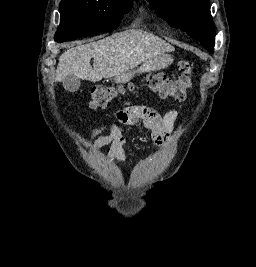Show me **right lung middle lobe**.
Listing matches in <instances>:
<instances>
[{
	"mask_svg": "<svg viewBox=\"0 0 256 267\" xmlns=\"http://www.w3.org/2000/svg\"><path fill=\"white\" fill-rule=\"evenodd\" d=\"M133 0H62L60 25L54 36L58 43L111 31L119 26Z\"/></svg>",
	"mask_w": 256,
	"mask_h": 267,
	"instance_id": "1",
	"label": "right lung middle lobe"
}]
</instances>
